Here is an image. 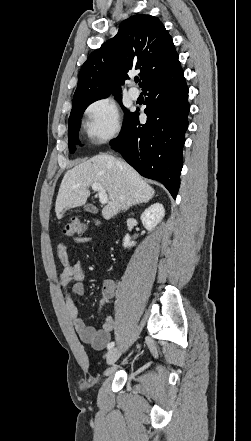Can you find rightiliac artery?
Returning <instances> with one entry per match:
<instances>
[{
    "instance_id": "82829eb1",
    "label": "right iliac artery",
    "mask_w": 251,
    "mask_h": 441,
    "mask_svg": "<svg viewBox=\"0 0 251 441\" xmlns=\"http://www.w3.org/2000/svg\"><path fill=\"white\" fill-rule=\"evenodd\" d=\"M115 343L114 342H110L107 346V349L110 350L114 347Z\"/></svg>"
}]
</instances>
